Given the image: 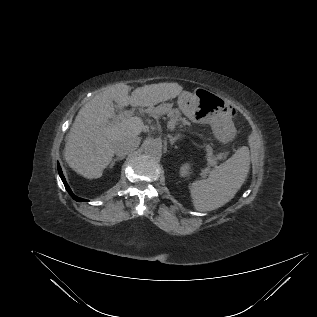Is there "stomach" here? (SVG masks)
<instances>
[{
    "mask_svg": "<svg viewBox=\"0 0 317 317\" xmlns=\"http://www.w3.org/2000/svg\"><path fill=\"white\" fill-rule=\"evenodd\" d=\"M177 102L182 112L195 122L209 123L218 139L229 141L233 138L235 128L229 105L222 96L199 87L193 93L183 91Z\"/></svg>",
    "mask_w": 317,
    "mask_h": 317,
    "instance_id": "1",
    "label": "stomach"
}]
</instances>
